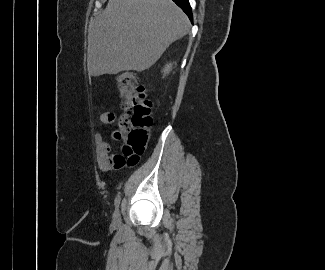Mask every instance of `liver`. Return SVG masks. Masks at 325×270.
I'll return each mask as SVG.
<instances>
[{
	"label": "liver",
	"mask_w": 325,
	"mask_h": 270,
	"mask_svg": "<svg viewBox=\"0 0 325 270\" xmlns=\"http://www.w3.org/2000/svg\"><path fill=\"white\" fill-rule=\"evenodd\" d=\"M188 31L187 16L172 0H109L89 23L88 72L149 69Z\"/></svg>",
	"instance_id": "6515ba94"
}]
</instances>
